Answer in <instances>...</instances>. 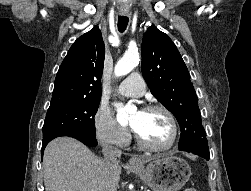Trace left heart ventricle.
Listing matches in <instances>:
<instances>
[{
  "instance_id": "1",
  "label": "left heart ventricle",
  "mask_w": 251,
  "mask_h": 191,
  "mask_svg": "<svg viewBox=\"0 0 251 191\" xmlns=\"http://www.w3.org/2000/svg\"><path fill=\"white\" fill-rule=\"evenodd\" d=\"M135 130L151 145L163 147L172 140L170 120L162 111H143L136 114L131 121Z\"/></svg>"
}]
</instances>
